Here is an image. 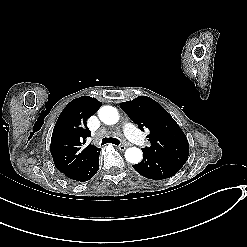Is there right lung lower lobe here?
<instances>
[{"label":"right lung lower lobe","instance_id":"right-lung-lower-lobe-1","mask_svg":"<svg viewBox=\"0 0 247 247\" xmlns=\"http://www.w3.org/2000/svg\"><path fill=\"white\" fill-rule=\"evenodd\" d=\"M99 154L100 151L93 155L85 165L67 177L79 182H85L91 179L99 169Z\"/></svg>","mask_w":247,"mask_h":247}]
</instances>
